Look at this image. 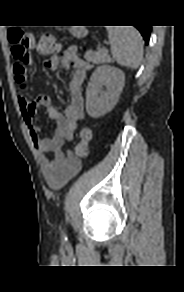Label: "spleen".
<instances>
[{
    "instance_id": "obj_1",
    "label": "spleen",
    "mask_w": 184,
    "mask_h": 292,
    "mask_svg": "<svg viewBox=\"0 0 184 292\" xmlns=\"http://www.w3.org/2000/svg\"><path fill=\"white\" fill-rule=\"evenodd\" d=\"M113 59L121 66L137 69L143 58L141 34L134 27H108Z\"/></svg>"
}]
</instances>
